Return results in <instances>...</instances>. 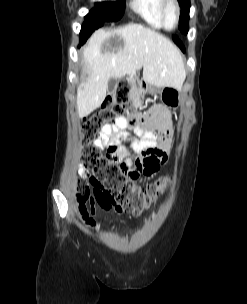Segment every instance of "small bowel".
I'll use <instances>...</instances> for the list:
<instances>
[{
  "label": "small bowel",
  "mask_w": 247,
  "mask_h": 304,
  "mask_svg": "<svg viewBox=\"0 0 247 304\" xmlns=\"http://www.w3.org/2000/svg\"><path fill=\"white\" fill-rule=\"evenodd\" d=\"M128 117L130 120L119 117L112 124L105 125L96 144L101 149L106 148L105 162L119 165L127 177L139 182L143 176L154 175L160 165L167 162L171 152L172 121L169 110L162 105L150 108L149 112H130ZM133 119L152 120L133 121ZM157 132L163 136L158 135ZM121 141H133L134 149H127L126 144H120ZM145 150L148 152H144ZM146 159H156L157 165L150 167ZM78 170L81 177L89 180L92 186L97 188L95 178L83 164L78 165ZM96 203L105 209H113L116 213L124 211L121 205L105 195H102ZM89 224L93 226L94 222L90 221Z\"/></svg>",
  "instance_id": "1"
}]
</instances>
